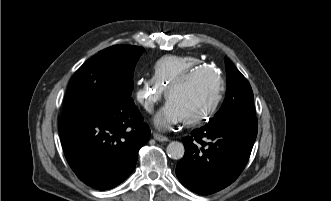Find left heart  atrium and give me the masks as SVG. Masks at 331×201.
Masks as SVG:
<instances>
[{
	"instance_id": "1",
	"label": "left heart atrium",
	"mask_w": 331,
	"mask_h": 201,
	"mask_svg": "<svg viewBox=\"0 0 331 201\" xmlns=\"http://www.w3.org/2000/svg\"><path fill=\"white\" fill-rule=\"evenodd\" d=\"M184 118L175 108L173 102H168L162 111H160L154 118V124L159 129H166L170 125L177 123Z\"/></svg>"
}]
</instances>
